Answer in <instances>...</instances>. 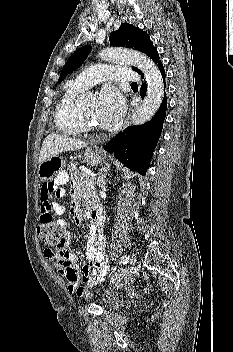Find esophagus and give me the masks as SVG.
<instances>
[{"label": "esophagus", "instance_id": "34e87169", "mask_svg": "<svg viewBox=\"0 0 233 352\" xmlns=\"http://www.w3.org/2000/svg\"><path fill=\"white\" fill-rule=\"evenodd\" d=\"M130 119H131V114H129L128 117L126 118L123 128H125L129 124Z\"/></svg>", "mask_w": 233, "mask_h": 352}]
</instances>
